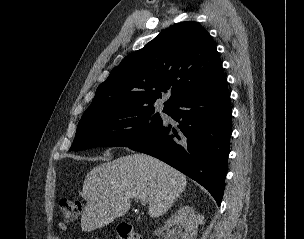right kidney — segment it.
Segmentation results:
<instances>
[{
    "label": "right kidney",
    "instance_id": "right-kidney-1",
    "mask_svg": "<svg viewBox=\"0 0 304 239\" xmlns=\"http://www.w3.org/2000/svg\"><path fill=\"white\" fill-rule=\"evenodd\" d=\"M202 222L203 217L196 216L194 209L186 205L168 218L164 228L170 239H196L198 224Z\"/></svg>",
    "mask_w": 304,
    "mask_h": 239
}]
</instances>
